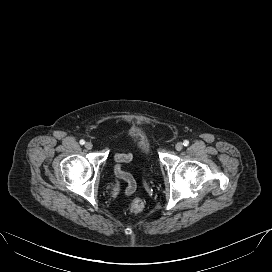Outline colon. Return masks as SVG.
I'll return each instance as SVG.
<instances>
[{"instance_id": "5ec220e1", "label": "colon", "mask_w": 272, "mask_h": 272, "mask_svg": "<svg viewBox=\"0 0 272 272\" xmlns=\"http://www.w3.org/2000/svg\"><path fill=\"white\" fill-rule=\"evenodd\" d=\"M129 209L133 214L140 213L144 209V202L139 198H135L132 200Z\"/></svg>"}]
</instances>
